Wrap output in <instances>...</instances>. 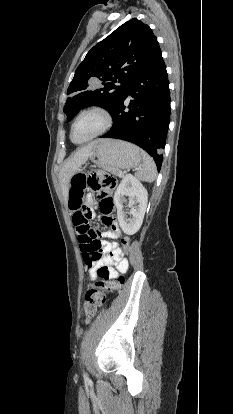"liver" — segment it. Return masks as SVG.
I'll return each mask as SVG.
<instances>
[{
  "label": "liver",
  "instance_id": "6515ba94",
  "mask_svg": "<svg viewBox=\"0 0 233 414\" xmlns=\"http://www.w3.org/2000/svg\"><path fill=\"white\" fill-rule=\"evenodd\" d=\"M94 143L81 147L64 164L60 171L59 180L65 201L67 202L70 179L84 165L92 154Z\"/></svg>",
  "mask_w": 233,
  "mask_h": 414
}]
</instances>
